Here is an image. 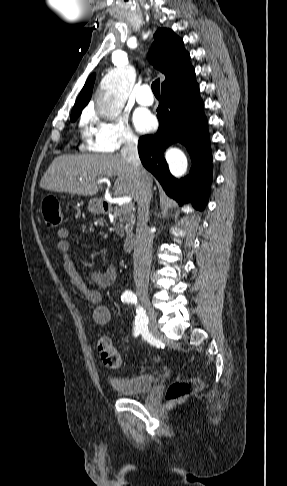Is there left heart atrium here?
<instances>
[{
	"mask_svg": "<svg viewBox=\"0 0 287 486\" xmlns=\"http://www.w3.org/2000/svg\"><path fill=\"white\" fill-rule=\"evenodd\" d=\"M134 124L139 131L145 132L154 125V118L147 112H141L135 116Z\"/></svg>",
	"mask_w": 287,
	"mask_h": 486,
	"instance_id": "left-heart-atrium-1",
	"label": "left heart atrium"
}]
</instances>
